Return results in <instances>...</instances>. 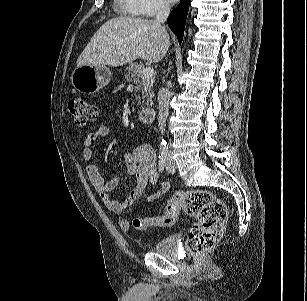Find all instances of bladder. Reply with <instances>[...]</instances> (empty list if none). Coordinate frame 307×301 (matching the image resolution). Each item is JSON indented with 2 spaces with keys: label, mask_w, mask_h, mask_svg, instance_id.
<instances>
[{
  "label": "bladder",
  "mask_w": 307,
  "mask_h": 301,
  "mask_svg": "<svg viewBox=\"0 0 307 301\" xmlns=\"http://www.w3.org/2000/svg\"><path fill=\"white\" fill-rule=\"evenodd\" d=\"M179 241V234L168 235L157 240L152 247V251L165 257L177 258Z\"/></svg>",
  "instance_id": "obj_1"
}]
</instances>
